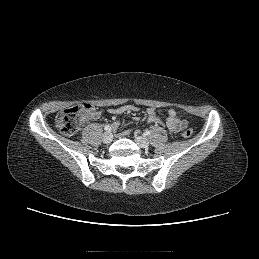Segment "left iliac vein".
<instances>
[{
	"label": "left iliac vein",
	"instance_id": "4c4485c4",
	"mask_svg": "<svg viewBox=\"0 0 259 259\" xmlns=\"http://www.w3.org/2000/svg\"><path fill=\"white\" fill-rule=\"evenodd\" d=\"M135 142L141 148H148L149 144H150L149 140L146 137H143V136L135 137Z\"/></svg>",
	"mask_w": 259,
	"mask_h": 259
}]
</instances>
